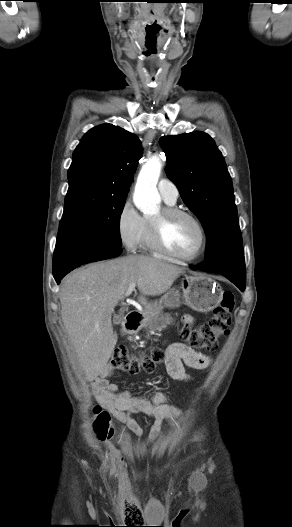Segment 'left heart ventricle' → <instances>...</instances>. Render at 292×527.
I'll list each match as a JSON object with an SVG mask.
<instances>
[{"label":"left heart ventricle","mask_w":292,"mask_h":527,"mask_svg":"<svg viewBox=\"0 0 292 527\" xmlns=\"http://www.w3.org/2000/svg\"><path fill=\"white\" fill-rule=\"evenodd\" d=\"M160 211L151 218L158 217ZM167 246L175 253L183 256L193 254L200 244V232L197 225L190 218L177 216L169 220L164 229Z\"/></svg>","instance_id":"1"}]
</instances>
